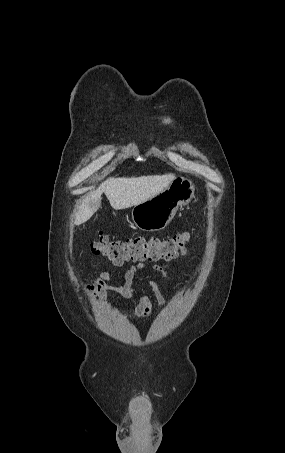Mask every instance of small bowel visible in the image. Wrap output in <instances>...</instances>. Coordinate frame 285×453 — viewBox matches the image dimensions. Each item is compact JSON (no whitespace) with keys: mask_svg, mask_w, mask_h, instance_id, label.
<instances>
[{"mask_svg":"<svg viewBox=\"0 0 285 453\" xmlns=\"http://www.w3.org/2000/svg\"><path fill=\"white\" fill-rule=\"evenodd\" d=\"M147 266H150L151 268L160 272L163 277H168L166 270L162 266L156 264L148 265L146 263L140 262L126 270L122 284L117 286L109 285L107 283V281L109 280V274L102 271L97 278H95L85 286V290L90 295L93 304H98L103 299L105 293L109 290L116 292L122 297L130 298L133 296L136 288L146 287L152 292L157 304L160 307H163L165 304V299L158 284L153 280L138 281L135 279L136 272ZM151 312V299L148 296H142L139 300L138 305L130 313V316L132 318H148L151 315Z\"/></svg>","mask_w":285,"mask_h":453,"instance_id":"c3829d8e","label":"small bowel"}]
</instances>
